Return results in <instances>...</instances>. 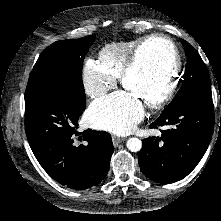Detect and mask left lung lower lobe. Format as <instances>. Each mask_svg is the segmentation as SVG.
I'll return each instance as SVG.
<instances>
[{"instance_id":"obj_1","label":"left lung lower lobe","mask_w":221,"mask_h":221,"mask_svg":"<svg viewBox=\"0 0 221 221\" xmlns=\"http://www.w3.org/2000/svg\"><path fill=\"white\" fill-rule=\"evenodd\" d=\"M212 100L194 99L162 113L150 128L167 127L142 142L139 166L150 180L168 184L186 177L200 162L214 129Z\"/></svg>"}]
</instances>
